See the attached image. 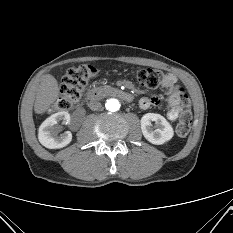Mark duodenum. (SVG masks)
<instances>
[{"instance_id": "duodenum-1", "label": "duodenum", "mask_w": 233, "mask_h": 233, "mask_svg": "<svg viewBox=\"0 0 233 233\" xmlns=\"http://www.w3.org/2000/svg\"><path fill=\"white\" fill-rule=\"evenodd\" d=\"M104 96H114L117 98H120L126 102H131L133 100V96L124 90L121 89H92L88 91L86 95V99L88 101H94L98 98L104 97Z\"/></svg>"}]
</instances>
